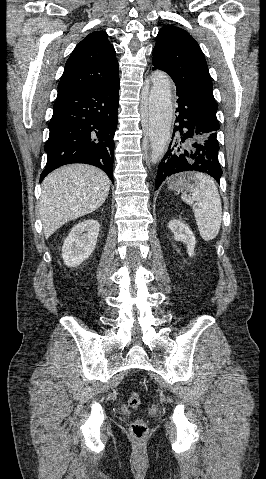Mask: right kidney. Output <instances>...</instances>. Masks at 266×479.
I'll return each mask as SVG.
<instances>
[{
	"label": "right kidney",
	"instance_id": "ca27d5eb",
	"mask_svg": "<svg viewBox=\"0 0 266 479\" xmlns=\"http://www.w3.org/2000/svg\"><path fill=\"white\" fill-rule=\"evenodd\" d=\"M100 225L96 220H84L76 224L62 246V258L69 267H77L95 249Z\"/></svg>",
	"mask_w": 266,
	"mask_h": 479
}]
</instances>
